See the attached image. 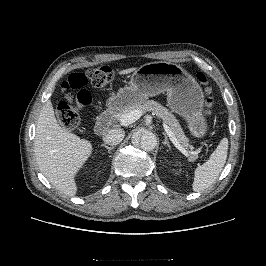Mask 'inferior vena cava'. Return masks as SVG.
Returning <instances> with one entry per match:
<instances>
[{
  "label": "inferior vena cava",
  "instance_id": "inferior-vena-cava-1",
  "mask_svg": "<svg viewBox=\"0 0 266 266\" xmlns=\"http://www.w3.org/2000/svg\"><path fill=\"white\" fill-rule=\"evenodd\" d=\"M125 136V132L123 129L120 128H113L109 129L104 135H103V141L106 144L109 145H117L119 144Z\"/></svg>",
  "mask_w": 266,
  "mask_h": 266
}]
</instances>
